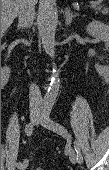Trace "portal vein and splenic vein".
<instances>
[{
	"instance_id": "1",
	"label": "portal vein and splenic vein",
	"mask_w": 109,
	"mask_h": 170,
	"mask_svg": "<svg viewBox=\"0 0 109 170\" xmlns=\"http://www.w3.org/2000/svg\"><path fill=\"white\" fill-rule=\"evenodd\" d=\"M98 5H99V4H98ZM92 7H93V8H95V7H96V5H92ZM77 8H79V7H77Z\"/></svg>"
}]
</instances>
